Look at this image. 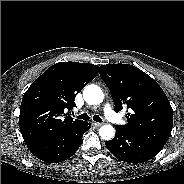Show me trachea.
I'll return each mask as SVG.
<instances>
[{"instance_id": "trachea-1", "label": "trachea", "mask_w": 184, "mask_h": 184, "mask_svg": "<svg viewBox=\"0 0 184 184\" xmlns=\"http://www.w3.org/2000/svg\"><path fill=\"white\" fill-rule=\"evenodd\" d=\"M77 118L82 119V120H89L90 119L89 115L86 113H83V114L77 116ZM93 120L96 122H102V119L98 115H94Z\"/></svg>"}]
</instances>
